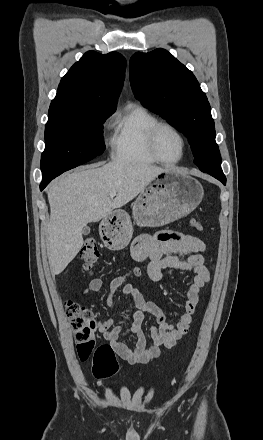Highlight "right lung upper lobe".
Masks as SVG:
<instances>
[{"label": "right lung upper lobe", "mask_w": 263, "mask_h": 440, "mask_svg": "<svg viewBox=\"0 0 263 440\" xmlns=\"http://www.w3.org/2000/svg\"><path fill=\"white\" fill-rule=\"evenodd\" d=\"M126 59L118 52L88 51L61 79L48 116L114 112L125 76Z\"/></svg>", "instance_id": "1"}]
</instances>
